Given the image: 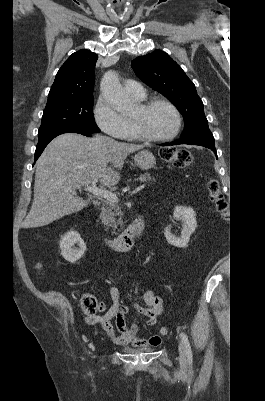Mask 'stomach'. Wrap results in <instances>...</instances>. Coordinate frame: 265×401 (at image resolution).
I'll use <instances>...</instances> for the list:
<instances>
[{"mask_svg":"<svg viewBox=\"0 0 265 401\" xmlns=\"http://www.w3.org/2000/svg\"><path fill=\"white\" fill-rule=\"evenodd\" d=\"M134 162L136 166L142 168V170H148V168H153L156 164V158L150 150H140L134 156Z\"/></svg>","mask_w":265,"mask_h":401,"instance_id":"obj_1","label":"stomach"}]
</instances>
